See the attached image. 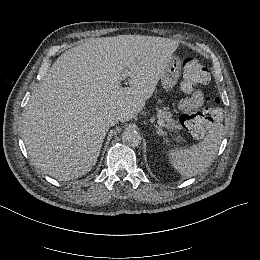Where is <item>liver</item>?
Here are the masks:
<instances>
[{"instance_id": "1", "label": "liver", "mask_w": 260, "mask_h": 260, "mask_svg": "<svg viewBox=\"0 0 260 260\" xmlns=\"http://www.w3.org/2000/svg\"><path fill=\"white\" fill-rule=\"evenodd\" d=\"M178 42L144 35L91 38L65 51L34 89L22 138L33 165L68 181L91 171L106 117L135 119L152 97ZM122 76L129 87H122Z\"/></svg>"}]
</instances>
